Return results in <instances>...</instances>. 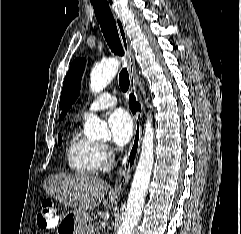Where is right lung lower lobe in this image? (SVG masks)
<instances>
[{
    "mask_svg": "<svg viewBox=\"0 0 241 234\" xmlns=\"http://www.w3.org/2000/svg\"><path fill=\"white\" fill-rule=\"evenodd\" d=\"M129 106L133 113H135L137 110H141L139 103L135 102L134 94H131L129 97Z\"/></svg>",
    "mask_w": 241,
    "mask_h": 234,
    "instance_id": "98d812e1",
    "label": "right lung lower lobe"
}]
</instances>
